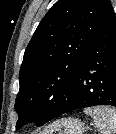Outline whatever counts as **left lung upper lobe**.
I'll use <instances>...</instances> for the list:
<instances>
[{
  "label": "left lung upper lobe",
  "instance_id": "obj_1",
  "mask_svg": "<svg viewBox=\"0 0 116 134\" xmlns=\"http://www.w3.org/2000/svg\"><path fill=\"white\" fill-rule=\"evenodd\" d=\"M112 11L110 0H58L50 8L24 53L16 130L30 121L47 123L71 97L81 64Z\"/></svg>",
  "mask_w": 116,
  "mask_h": 134
}]
</instances>
